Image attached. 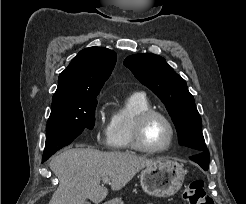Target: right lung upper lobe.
Masks as SVG:
<instances>
[{
  "mask_svg": "<svg viewBox=\"0 0 246 204\" xmlns=\"http://www.w3.org/2000/svg\"><path fill=\"white\" fill-rule=\"evenodd\" d=\"M116 53L103 47L80 51L60 73L53 102L99 94L116 63Z\"/></svg>",
  "mask_w": 246,
  "mask_h": 204,
  "instance_id": "obj_1",
  "label": "right lung upper lobe"
}]
</instances>
